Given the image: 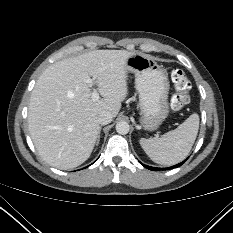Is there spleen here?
<instances>
[{"label":"spleen","instance_id":"1","mask_svg":"<svg viewBox=\"0 0 233 233\" xmlns=\"http://www.w3.org/2000/svg\"><path fill=\"white\" fill-rule=\"evenodd\" d=\"M198 129L199 116L194 113L176 129L160 138H141L140 144L152 161L161 165H174L188 156Z\"/></svg>","mask_w":233,"mask_h":233}]
</instances>
